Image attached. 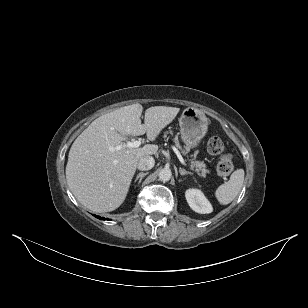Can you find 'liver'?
Segmentation results:
<instances>
[{
  "label": "liver",
  "mask_w": 308,
  "mask_h": 308,
  "mask_svg": "<svg viewBox=\"0 0 308 308\" xmlns=\"http://www.w3.org/2000/svg\"><path fill=\"white\" fill-rule=\"evenodd\" d=\"M141 104L121 107L95 119L72 144L66 166L68 186L76 199L93 212H110L125 200L140 158L156 154L158 146L121 148L128 135L146 133L154 141L180 109Z\"/></svg>",
  "instance_id": "6515ba94"
}]
</instances>
